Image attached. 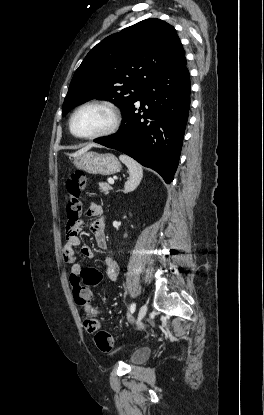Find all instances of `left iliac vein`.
Listing matches in <instances>:
<instances>
[{
    "label": "left iliac vein",
    "instance_id": "4c4485c4",
    "mask_svg": "<svg viewBox=\"0 0 264 415\" xmlns=\"http://www.w3.org/2000/svg\"><path fill=\"white\" fill-rule=\"evenodd\" d=\"M147 309H148V307H147V305H146V304H143V305L140 307V309H139V311H138L137 320H136V323H137V324H139V323L142 321V319L145 317V315H146V313H147Z\"/></svg>",
    "mask_w": 264,
    "mask_h": 415
}]
</instances>
